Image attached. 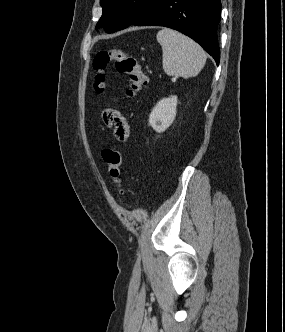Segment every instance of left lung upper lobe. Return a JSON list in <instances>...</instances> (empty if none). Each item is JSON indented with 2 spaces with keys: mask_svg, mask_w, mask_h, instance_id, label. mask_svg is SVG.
Masks as SVG:
<instances>
[{
  "mask_svg": "<svg viewBox=\"0 0 285 332\" xmlns=\"http://www.w3.org/2000/svg\"><path fill=\"white\" fill-rule=\"evenodd\" d=\"M155 0H100L103 14L96 28L108 33L122 30L136 21Z\"/></svg>",
  "mask_w": 285,
  "mask_h": 332,
  "instance_id": "left-lung-upper-lobe-1",
  "label": "left lung upper lobe"
}]
</instances>
